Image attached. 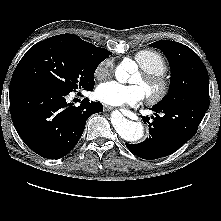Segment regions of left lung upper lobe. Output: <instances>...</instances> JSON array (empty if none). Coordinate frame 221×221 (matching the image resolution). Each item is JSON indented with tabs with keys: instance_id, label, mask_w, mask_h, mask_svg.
Listing matches in <instances>:
<instances>
[{
	"instance_id": "1",
	"label": "left lung upper lobe",
	"mask_w": 221,
	"mask_h": 221,
	"mask_svg": "<svg viewBox=\"0 0 221 221\" xmlns=\"http://www.w3.org/2000/svg\"><path fill=\"white\" fill-rule=\"evenodd\" d=\"M166 55L171 68L168 94L157 106L195 103L209 100V77L199 56L189 47L174 41L160 40L150 44Z\"/></svg>"
}]
</instances>
